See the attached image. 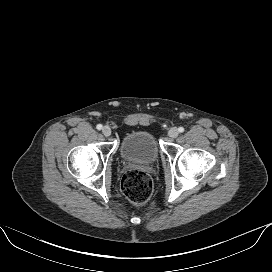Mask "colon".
Here are the masks:
<instances>
[{
    "label": "colon",
    "instance_id": "colon-1",
    "mask_svg": "<svg viewBox=\"0 0 272 272\" xmlns=\"http://www.w3.org/2000/svg\"><path fill=\"white\" fill-rule=\"evenodd\" d=\"M124 196L132 203L143 204L151 196L153 183L151 178L143 171L132 169L127 171L121 182Z\"/></svg>",
    "mask_w": 272,
    "mask_h": 272
}]
</instances>
